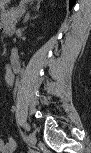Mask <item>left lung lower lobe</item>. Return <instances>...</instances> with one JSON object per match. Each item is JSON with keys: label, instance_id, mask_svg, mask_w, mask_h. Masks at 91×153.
<instances>
[{"label": "left lung lower lobe", "instance_id": "1", "mask_svg": "<svg viewBox=\"0 0 91 153\" xmlns=\"http://www.w3.org/2000/svg\"><path fill=\"white\" fill-rule=\"evenodd\" d=\"M75 3V0H70V6H72Z\"/></svg>", "mask_w": 91, "mask_h": 153}]
</instances>
